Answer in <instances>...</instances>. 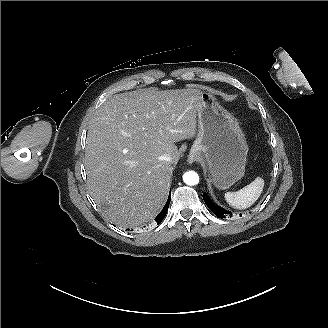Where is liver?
<instances>
[{
    "label": "liver",
    "mask_w": 328,
    "mask_h": 328,
    "mask_svg": "<svg viewBox=\"0 0 328 328\" xmlns=\"http://www.w3.org/2000/svg\"><path fill=\"white\" fill-rule=\"evenodd\" d=\"M197 88L116 94L90 120L84 166L103 217L123 228L150 221L162 207L179 161L176 142L195 137ZM169 154L171 161L159 160Z\"/></svg>",
    "instance_id": "liver-1"
}]
</instances>
